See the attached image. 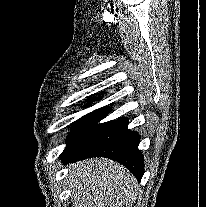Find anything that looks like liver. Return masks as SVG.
<instances>
[{
  "label": "liver",
  "instance_id": "1",
  "mask_svg": "<svg viewBox=\"0 0 206 207\" xmlns=\"http://www.w3.org/2000/svg\"><path fill=\"white\" fill-rule=\"evenodd\" d=\"M66 179L73 207H131L138 191L124 166L104 158L70 165Z\"/></svg>",
  "mask_w": 206,
  "mask_h": 207
}]
</instances>
